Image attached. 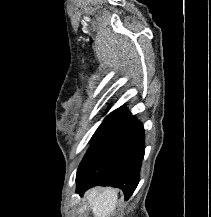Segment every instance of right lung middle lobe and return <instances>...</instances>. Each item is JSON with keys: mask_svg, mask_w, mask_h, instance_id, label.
Listing matches in <instances>:
<instances>
[{"mask_svg": "<svg viewBox=\"0 0 211 217\" xmlns=\"http://www.w3.org/2000/svg\"><path fill=\"white\" fill-rule=\"evenodd\" d=\"M114 120L113 119H105L102 124L99 126V128L96 130V132L94 133L91 141H92V144L91 146L93 145V143L96 141V139L99 137V135L109 126V124L111 122H113ZM90 146V147H91ZM90 149V148H89Z\"/></svg>", "mask_w": 211, "mask_h": 217, "instance_id": "dd1d6c3e", "label": "right lung middle lobe"}]
</instances>
